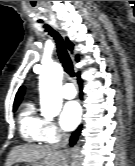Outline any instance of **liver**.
Here are the masks:
<instances>
[{"instance_id": "1", "label": "liver", "mask_w": 135, "mask_h": 166, "mask_svg": "<svg viewBox=\"0 0 135 166\" xmlns=\"http://www.w3.org/2000/svg\"><path fill=\"white\" fill-rule=\"evenodd\" d=\"M25 162L33 166H66V156L57 145L26 144L14 147L6 160L5 166Z\"/></svg>"}]
</instances>
